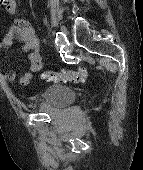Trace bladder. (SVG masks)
Masks as SVG:
<instances>
[{"instance_id": "31cf9c89", "label": "bladder", "mask_w": 143, "mask_h": 170, "mask_svg": "<svg viewBox=\"0 0 143 170\" xmlns=\"http://www.w3.org/2000/svg\"><path fill=\"white\" fill-rule=\"evenodd\" d=\"M75 98V93L72 88L53 84L44 89L41 102L48 109L58 110L71 105Z\"/></svg>"}]
</instances>
